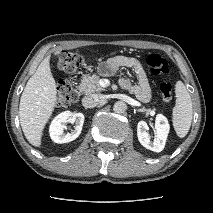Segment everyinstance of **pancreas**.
I'll list each match as a JSON object with an SVG mask.
<instances>
[{"instance_id":"obj_1","label":"pancreas","mask_w":213,"mask_h":213,"mask_svg":"<svg viewBox=\"0 0 213 213\" xmlns=\"http://www.w3.org/2000/svg\"><path fill=\"white\" fill-rule=\"evenodd\" d=\"M99 80L100 77L96 74L84 75L80 83V90L85 92V94H92L95 92L104 91L105 89L100 86Z\"/></svg>"}]
</instances>
